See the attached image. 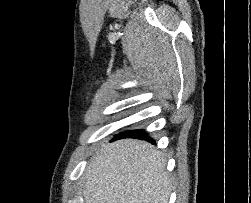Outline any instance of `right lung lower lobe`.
Returning <instances> with one entry per match:
<instances>
[{"mask_svg":"<svg viewBox=\"0 0 251 203\" xmlns=\"http://www.w3.org/2000/svg\"><path fill=\"white\" fill-rule=\"evenodd\" d=\"M129 137L148 140V141L154 143V140L152 138H150L146 132H143L141 130H132V131L122 133L121 135L116 136L114 138V140L121 139V138H129Z\"/></svg>","mask_w":251,"mask_h":203,"instance_id":"1","label":"right lung lower lobe"}]
</instances>
